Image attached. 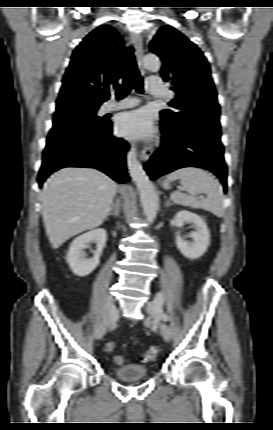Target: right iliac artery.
<instances>
[{"label":"right iliac artery","mask_w":273,"mask_h":430,"mask_svg":"<svg viewBox=\"0 0 273 430\" xmlns=\"http://www.w3.org/2000/svg\"><path fill=\"white\" fill-rule=\"evenodd\" d=\"M115 319H116V318H115ZM115 319H114V321H113V323H112L111 329H113V328L115 327Z\"/></svg>","instance_id":"obj_1"}]
</instances>
